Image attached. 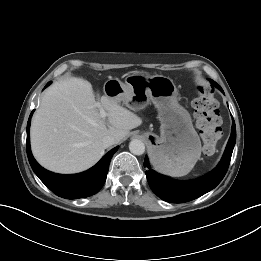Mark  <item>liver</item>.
I'll use <instances>...</instances> for the list:
<instances>
[{
  "mask_svg": "<svg viewBox=\"0 0 261 261\" xmlns=\"http://www.w3.org/2000/svg\"><path fill=\"white\" fill-rule=\"evenodd\" d=\"M92 85L81 78L55 82L44 93L31 123V149L36 160L57 173H77L92 167L105 152L102 139L115 143L142 124L133 112L102 96L107 121L96 107Z\"/></svg>",
  "mask_w": 261,
  "mask_h": 261,
  "instance_id": "liver-1",
  "label": "liver"
}]
</instances>
